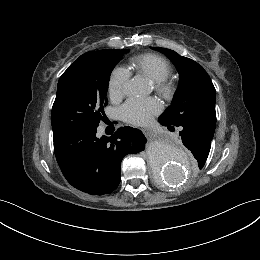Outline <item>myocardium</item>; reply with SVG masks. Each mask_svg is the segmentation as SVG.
Listing matches in <instances>:
<instances>
[{
  "label": "myocardium",
  "instance_id": "myocardium-1",
  "mask_svg": "<svg viewBox=\"0 0 260 260\" xmlns=\"http://www.w3.org/2000/svg\"><path fill=\"white\" fill-rule=\"evenodd\" d=\"M155 89L164 97H170L174 94L176 87L173 83L165 80L155 82Z\"/></svg>",
  "mask_w": 260,
  "mask_h": 260
}]
</instances>
